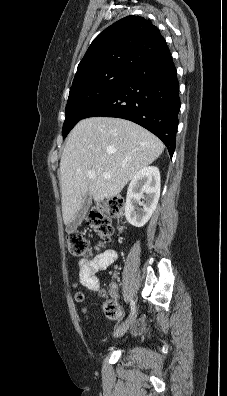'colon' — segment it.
Returning <instances> with one entry per match:
<instances>
[{
	"label": "colon",
	"instance_id": "colon-1",
	"mask_svg": "<svg viewBox=\"0 0 227 396\" xmlns=\"http://www.w3.org/2000/svg\"><path fill=\"white\" fill-rule=\"evenodd\" d=\"M124 214V200L120 196L111 197L90 210L87 222L94 230L102 242L109 241L114 234L113 221L120 220ZM67 248L74 257H88L91 253L88 240L79 232H71L67 236ZM105 299L104 311L109 317H116L118 308L114 301L101 293ZM76 299L79 302L84 300L82 293H77Z\"/></svg>",
	"mask_w": 227,
	"mask_h": 396
}]
</instances>
